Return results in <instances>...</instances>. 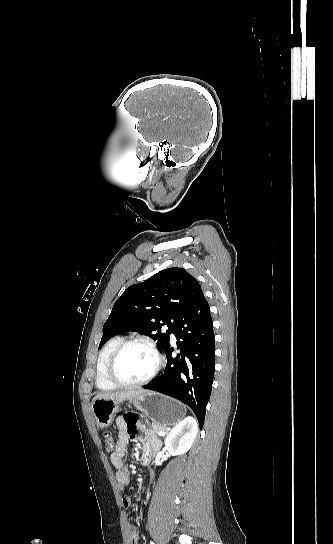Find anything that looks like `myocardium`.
<instances>
[{"instance_id": "myocardium-1", "label": "myocardium", "mask_w": 333, "mask_h": 544, "mask_svg": "<svg viewBox=\"0 0 333 544\" xmlns=\"http://www.w3.org/2000/svg\"><path fill=\"white\" fill-rule=\"evenodd\" d=\"M132 345H141L150 350L155 357V366L152 372L146 378L137 382H125L118 377L116 373V366L124 350ZM163 366L164 358L152 341L143 338H132L122 341L112 352L107 363L106 376L108 380L117 387L136 388L150 383L159 374Z\"/></svg>"}]
</instances>
